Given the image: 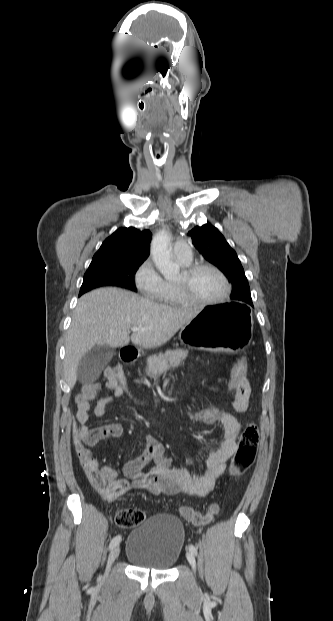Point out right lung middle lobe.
Masks as SVG:
<instances>
[{"label":"right lung middle lobe","mask_w":333,"mask_h":621,"mask_svg":"<svg viewBox=\"0 0 333 621\" xmlns=\"http://www.w3.org/2000/svg\"><path fill=\"white\" fill-rule=\"evenodd\" d=\"M142 261L110 260L91 262L79 296L100 286H119L136 292L133 276Z\"/></svg>","instance_id":"dd1d6c3e"}]
</instances>
